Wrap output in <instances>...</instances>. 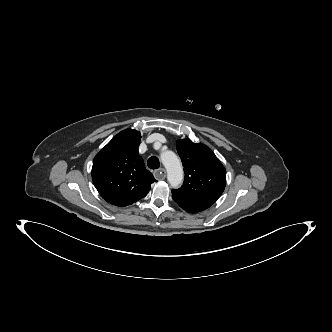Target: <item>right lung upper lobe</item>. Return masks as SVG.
Instances as JSON below:
<instances>
[{
  "mask_svg": "<svg viewBox=\"0 0 332 332\" xmlns=\"http://www.w3.org/2000/svg\"><path fill=\"white\" fill-rule=\"evenodd\" d=\"M140 133L127 129L117 134L95 156L92 179L101 197L124 207L140 200L155 182L138 155Z\"/></svg>",
  "mask_w": 332,
  "mask_h": 332,
  "instance_id": "obj_1",
  "label": "right lung upper lobe"
}]
</instances>
